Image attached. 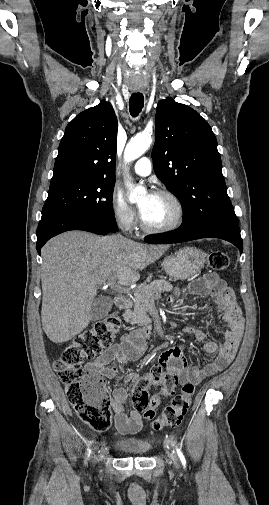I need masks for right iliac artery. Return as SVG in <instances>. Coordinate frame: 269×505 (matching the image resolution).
I'll use <instances>...</instances> for the list:
<instances>
[{
    "mask_svg": "<svg viewBox=\"0 0 269 505\" xmlns=\"http://www.w3.org/2000/svg\"><path fill=\"white\" fill-rule=\"evenodd\" d=\"M90 454H91V450H89V452H88V457L90 456Z\"/></svg>",
    "mask_w": 269,
    "mask_h": 505,
    "instance_id": "1",
    "label": "right iliac artery"
}]
</instances>
